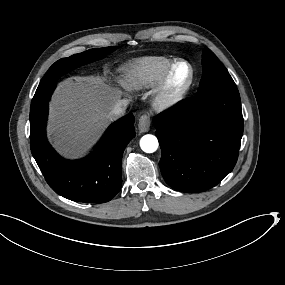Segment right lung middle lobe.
I'll return each instance as SVG.
<instances>
[{
    "instance_id": "dd1d6c3e",
    "label": "right lung middle lobe",
    "mask_w": 285,
    "mask_h": 285,
    "mask_svg": "<svg viewBox=\"0 0 285 285\" xmlns=\"http://www.w3.org/2000/svg\"><path fill=\"white\" fill-rule=\"evenodd\" d=\"M115 49V47L90 49L88 51L56 61L46 72L37 89H42L53 84L62 75L81 65L104 58L107 54L113 52Z\"/></svg>"
}]
</instances>
